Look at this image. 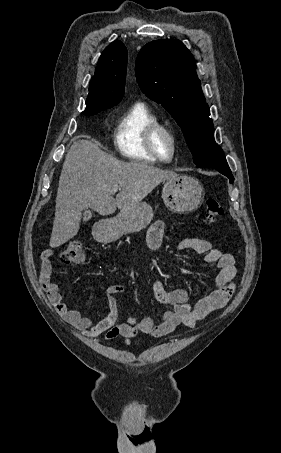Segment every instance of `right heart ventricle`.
<instances>
[{"mask_svg":"<svg viewBox=\"0 0 281 453\" xmlns=\"http://www.w3.org/2000/svg\"><path fill=\"white\" fill-rule=\"evenodd\" d=\"M158 122V118L143 103L137 102L125 108L115 129L116 151L129 160L157 162L148 149L147 133L150 127Z\"/></svg>","mask_w":281,"mask_h":453,"instance_id":"e07e8e85","label":"right heart ventricle"}]
</instances>
